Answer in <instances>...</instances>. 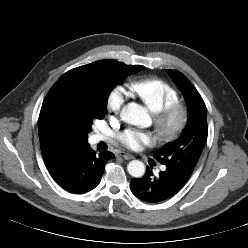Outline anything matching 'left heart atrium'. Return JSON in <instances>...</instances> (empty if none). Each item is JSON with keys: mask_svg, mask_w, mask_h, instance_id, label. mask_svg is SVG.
I'll use <instances>...</instances> for the list:
<instances>
[{"mask_svg": "<svg viewBox=\"0 0 248 248\" xmlns=\"http://www.w3.org/2000/svg\"><path fill=\"white\" fill-rule=\"evenodd\" d=\"M156 137L150 132L128 128L119 134V141L131 150H140L155 142Z\"/></svg>", "mask_w": 248, "mask_h": 248, "instance_id": "1", "label": "left heart atrium"}]
</instances>
